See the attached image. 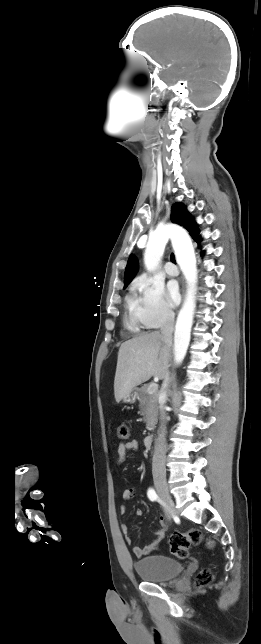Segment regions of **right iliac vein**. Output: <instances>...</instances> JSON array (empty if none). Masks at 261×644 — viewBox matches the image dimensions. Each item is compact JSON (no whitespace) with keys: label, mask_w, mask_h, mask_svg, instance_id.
<instances>
[{"label":"right iliac vein","mask_w":261,"mask_h":644,"mask_svg":"<svg viewBox=\"0 0 261 644\" xmlns=\"http://www.w3.org/2000/svg\"><path fill=\"white\" fill-rule=\"evenodd\" d=\"M154 484L155 488L158 492V495L162 499V501L172 510L174 509V502L169 494L167 482L164 476L162 475H155L154 476Z\"/></svg>","instance_id":"63e3f726"}]
</instances>
